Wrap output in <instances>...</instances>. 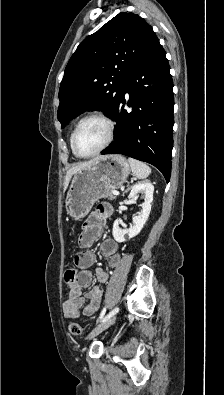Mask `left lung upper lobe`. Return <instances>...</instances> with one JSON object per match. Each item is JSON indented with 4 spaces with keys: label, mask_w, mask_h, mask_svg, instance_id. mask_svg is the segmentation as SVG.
I'll use <instances>...</instances> for the list:
<instances>
[{
    "label": "left lung upper lobe",
    "mask_w": 224,
    "mask_h": 395,
    "mask_svg": "<svg viewBox=\"0 0 224 395\" xmlns=\"http://www.w3.org/2000/svg\"><path fill=\"white\" fill-rule=\"evenodd\" d=\"M157 40L152 27L133 13H119L84 39L61 81V128L87 110H101L112 118L128 76Z\"/></svg>",
    "instance_id": "1"
}]
</instances>
